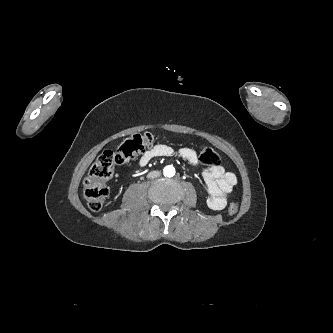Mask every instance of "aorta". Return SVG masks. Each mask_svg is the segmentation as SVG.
<instances>
[{
    "label": "aorta",
    "mask_w": 333,
    "mask_h": 333,
    "mask_svg": "<svg viewBox=\"0 0 333 333\" xmlns=\"http://www.w3.org/2000/svg\"><path fill=\"white\" fill-rule=\"evenodd\" d=\"M175 175V168L172 165L164 168V176L173 177Z\"/></svg>",
    "instance_id": "obj_1"
}]
</instances>
